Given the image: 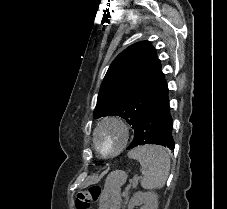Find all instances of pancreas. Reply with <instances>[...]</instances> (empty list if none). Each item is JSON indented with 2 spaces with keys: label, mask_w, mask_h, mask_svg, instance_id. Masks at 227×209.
Instances as JSON below:
<instances>
[{
  "label": "pancreas",
  "mask_w": 227,
  "mask_h": 209,
  "mask_svg": "<svg viewBox=\"0 0 227 209\" xmlns=\"http://www.w3.org/2000/svg\"><path fill=\"white\" fill-rule=\"evenodd\" d=\"M125 203L127 202L126 200L124 201ZM121 209H126L124 206Z\"/></svg>",
  "instance_id": "obj_1"
}]
</instances>
